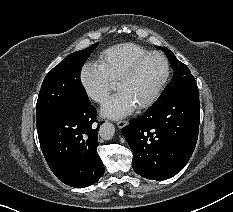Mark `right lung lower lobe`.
Segmentation results:
<instances>
[{"mask_svg":"<svg viewBox=\"0 0 233 212\" xmlns=\"http://www.w3.org/2000/svg\"><path fill=\"white\" fill-rule=\"evenodd\" d=\"M97 111L81 104L52 117L37 127L43 155L59 180L84 188L96 183L104 174L98 153Z\"/></svg>","mask_w":233,"mask_h":212,"instance_id":"1","label":"right lung lower lobe"}]
</instances>
